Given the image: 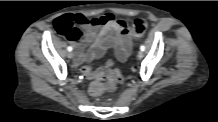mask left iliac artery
<instances>
[{"instance_id":"1","label":"left iliac artery","mask_w":218,"mask_h":122,"mask_svg":"<svg viewBox=\"0 0 218 122\" xmlns=\"http://www.w3.org/2000/svg\"><path fill=\"white\" fill-rule=\"evenodd\" d=\"M140 49H141V51H144V50H145L144 45H141V46H140Z\"/></svg>"}]
</instances>
